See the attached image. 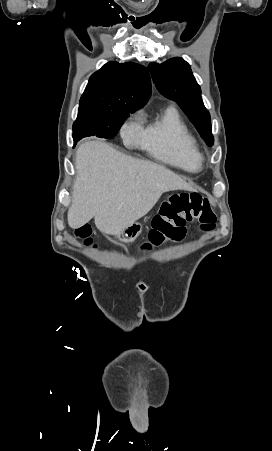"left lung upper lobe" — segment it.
Segmentation results:
<instances>
[{
	"instance_id": "5c2ea615",
	"label": "left lung upper lobe",
	"mask_w": 272,
	"mask_h": 451,
	"mask_svg": "<svg viewBox=\"0 0 272 451\" xmlns=\"http://www.w3.org/2000/svg\"><path fill=\"white\" fill-rule=\"evenodd\" d=\"M148 68L159 92L179 104L202 138L212 146L210 114L203 104L201 89L190 65L176 57L162 64L150 63Z\"/></svg>"
}]
</instances>
